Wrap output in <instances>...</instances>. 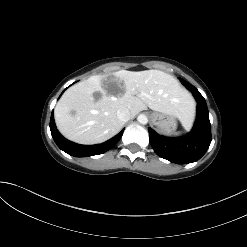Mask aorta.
Wrapping results in <instances>:
<instances>
[{
	"label": "aorta",
	"mask_w": 247,
	"mask_h": 247,
	"mask_svg": "<svg viewBox=\"0 0 247 247\" xmlns=\"http://www.w3.org/2000/svg\"><path fill=\"white\" fill-rule=\"evenodd\" d=\"M137 121L140 123V124H147L148 123V118L146 115L144 114H140L138 117H137Z\"/></svg>",
	"instance_id": "1"
}]
</instances>
